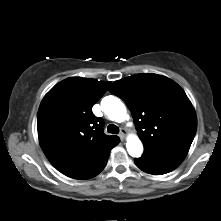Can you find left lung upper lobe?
Here are the masks:
<instances>
[{
	"instance_id": "1",
	"label": "left lung upper lobe",
	"mask_w": 221,
	"mask_h": 221,
	"mask_svg": "<svg viewBox=\"0 0 221 221\" xmlns=\"http://www.w3.org/2000/svg\"><path fill=\"white\" fill-rule=\"evenodd\" d=\"M109 91L128 106L144 151L189 150L197 129L195 110L184 90L158 74L115 81Z\"/></svg>"
}]
</instances>
